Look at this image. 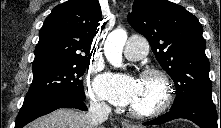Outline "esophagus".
Returning <instances> with one entry per match:
<instances>
[{"instance_id":"34e87169","label":"esophagus","mask_w":221,"mask_h":128,"mask_svg":"<svg viewBox=\"0 0 221 128\" xmlns=\"http://www.w3.org/2000/svg\"><path fill=\"white\" fill-rule=\"evenodd\" d=\"M124 125H125L126 127H128V124H127V123H125Z\"/></svg>"}]
</instances>
